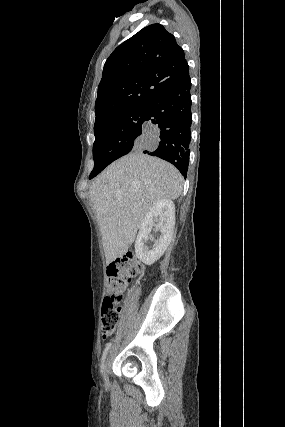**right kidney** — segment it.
<instances>
[{
    "instance_id": "ca27d5eb",
    "label": "right kidney",
    "mask_w": 285,
    "mask_h": 427,
    "mask_svg": "<svg viewBox=\"0 0 285 427\" xmlns=\"http://www.w3.org/2000/svg\"><path fill=\"white\" fill-rule=\"evenodd\" d=\"M175 225V205L170 199L157 202L145 215L135 242V252L144 264L152 265L166 251L171 242ZM160 231V236L154 240L150 249L147 245L152 227Z\"/></svg>"
}]
</instances>
